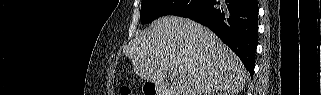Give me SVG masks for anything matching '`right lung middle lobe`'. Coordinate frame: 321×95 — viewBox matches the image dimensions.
Segmentation results:
<instances>
[{"label":"right lung middle lobe","instance_id":"obj_1","mask_svg":"<svg viewBox=\"0 0 321 95\" xmlns=\"http://www.w3.org/2000/svg\"><path fill=\"white\" fill-rule=\"evenodd\" d=\"M207 0H142L140 20L149 23L161 16L187 17L195 14Z\"/></svg>","mask_w":321,"mask_h":95}]
</instances>
